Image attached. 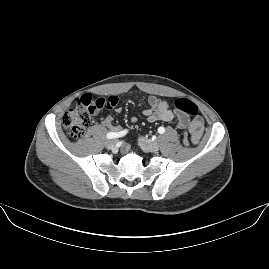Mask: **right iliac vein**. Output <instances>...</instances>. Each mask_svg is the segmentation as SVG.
I'll list each match as a JSON object with an SVG mask.
<instances>
[{"label":"right iliac vein","mask_w":269,"mask_h":269,"mask_svg":"<svg viewBox=\"0 0 269 269\" xmlns=\"http://www.w3.org/2000/svg\"><path fill=\"white\" fill-rule=\"evenodd\" d=\"M117 143L116 139H111L106 142L107 149H112Z\"/></svg>","instance_id":"1"}]
</instances>
